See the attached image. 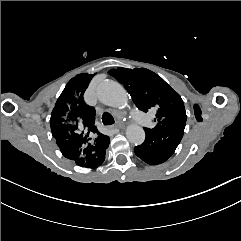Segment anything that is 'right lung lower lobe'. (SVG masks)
<instances>
[{
  "mask_svg": "<svg viewBox=\"0 0 241 241\" xmlns=\"http://www.w3.org/2000/svg\"><path fill=\"white\" fill-rule=\"evenodd\" d=\"M109 143H110V139L108 137V139L106 140V143L99 147L100 148L99 155L96 157L95 161L92 163L83 165L81 167L96 168V167L100 166L105 159L106 149L108 148Z\"/></svg>",
  "mask_w": 241,
  "mask_h": 241,
  "instance_id": "98d812e1",
  "label": "right lung lower lobe"
}]
</instances>
